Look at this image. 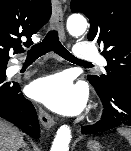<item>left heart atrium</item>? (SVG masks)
Wrapping results in <instances>:
<instances>
[{"label": "left heart atrium", "instance_id": "39dd6f15", "mask_svg": "<svg viewBox=\"0 0 131 151\" xmlns=\"http://www.w3.org/2000/svg\"><path fill=\"white\" fill-rule=\"evenodd\" d=\"M29 95L62 114L79 112L86 101V91L65 74L37 79L29 86Z\"/></svg>", "mask_w": 131, "mask_h": 151}]
</instances>
